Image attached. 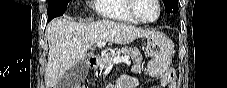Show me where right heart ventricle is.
Instances as JSON below:
<instances>
[{"instance_id":"e07e8e85","label":"right heart ventricle","mask_w":227,"mask_h":88,"mask_svg":"<svg viewBox=\"0 0 227 88\" xmlns=\"http://www.w3.org/2000/svg\"><path fill=\"white\" fill-rule=\"evenodd\" d=\"M129 0H95V10L104 18L126 23H137L129 14L127 5Z\"/></svg>"}]
</instances>
